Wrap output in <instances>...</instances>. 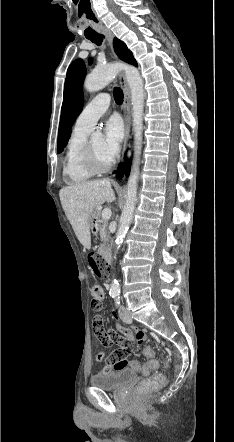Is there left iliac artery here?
<instances>
[{"mask_svg":"<svg viewBox=\"0 0 234 442\" xmlns=\"http://www.w3.org/2000/svg\"><path fill=\"white\" fill-rule=\"evenodd\" d=\"M119 298H120V297H118V298L116 299V304H117V305L120 304V300H119Z\"/></svg>","mask_w":234,"mask_h":442,"instance_id":"obj_1","label":"left iliac artery"}]
</instances>
